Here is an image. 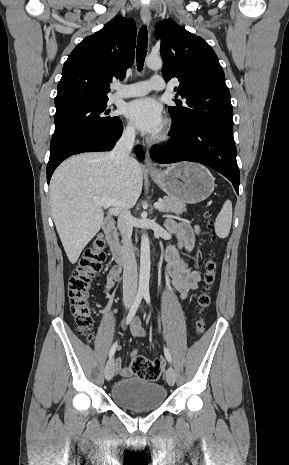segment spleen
I'll use <instances>...</instances> for the list:
<instances>
[{
  "label": "spleen",
  "mask_w": 289,
  "mask_h": 465,
  "mask_svg": "<svg viewBox=\"0 0 289 465\" xmlns=\"http://www.w3.org/2000/svg\"><path fill=\"white\" fill-rule=\"evenodd\" d=\"M232 222V203L227 200L215 220V233L220 238L229 235Z\"/></svg>",
  "instance_id": "3e777b00"
}]
</instances>
